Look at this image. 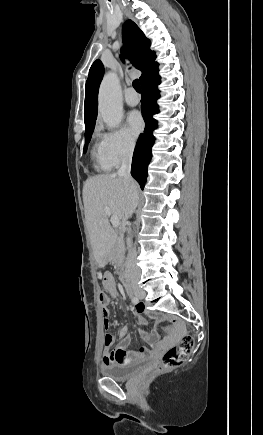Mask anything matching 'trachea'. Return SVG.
Segmentation results:
<instances>
[{"mask_svg": "<svg viewBox=\"0 0 263 435\" xmlns=\"http://www.w3.org/2000/svg\"><path fill=\"white\" fill-rule=\"evenodd\" d=\"M133 88L138 92L141 93V87L138 79H135L132 83Z\"/></svg>", "mask_w": 263, "mask_h": 435, "instance_id": "trachea-1", "label": "trachea"}]
</instances>
